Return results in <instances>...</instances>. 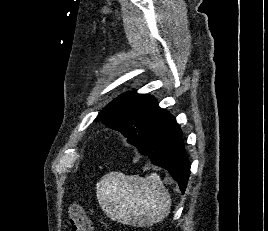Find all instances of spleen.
Masks as SVG:
<instances>
[{
	"label": "spleen",
	"mask_w": 268,
	"mask_h": 231,
	"mask_svg": "<svg viewBox=\"0 0 268 231\" xmlns=\"http://www.w3.org/2000/svg\"><path fill=\"white\" fill-rule=\"evenodd\" d=\"M98 202L114 221L132 226H152L170 211L171 199L160 176H126L110 172L96 185Z\"/></svg>",
	"instance_id": "3e777b00"
}]
</instances>
